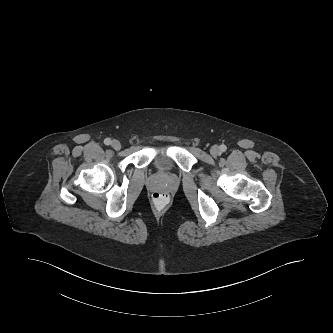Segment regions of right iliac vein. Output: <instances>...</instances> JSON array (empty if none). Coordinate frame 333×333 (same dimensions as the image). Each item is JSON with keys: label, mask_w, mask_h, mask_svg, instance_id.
<instances>
[{"label": "right iliac vein", "mask_w": 333, "mask_h": 333, "mask_svg": "<svg viewBox=\"0 0 333 333\" xmlns=\"http://www.w3.org/2000/svg\"><path fill=\"white\" fill-rule=\"evenodd\" d=\"M111 146L115 150H120L121 143L118 140H113L112 143H111Z\"/></svg>", "instance_id": "right-iliac-vein-1"}]
</instances>
